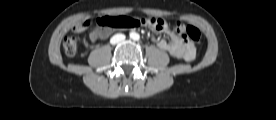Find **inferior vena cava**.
Returning <instances> with one entry per match:
<instances>
[{
	"mask_svg": "<svg viewBox=\"0 0 276 120\" xmlns=\"http://www.w3.org/2000/svg\"><path fill=\"white\" fill-rule=\"evenodd\" d=\"M125 39V35L124 34H115L111 39H110V43L111 44H117L118 42H121Z\"/></svg>",
	"mask_w": 276,
	"mask_h": 120,
	"instance_id": "inferior-vena-cava-1",
	"label": "inferior vena cava"
}]
</instances>
